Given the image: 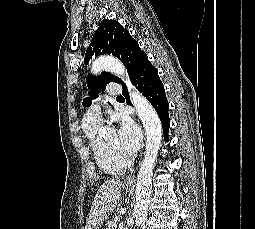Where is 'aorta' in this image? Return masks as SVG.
<instances>
[{
    "mask_svg": "<svg viewBox=\"0 0 255 229\" xmlns=\"http://www.w3.org/2000/svg\"><path fill=\"white\" fill-rule=\"evenodd\" d=\"M102 70L117 75L126 83L131 102L143 123L146 133V152L137 175L134 207L135 223L140 226L147 218L153 168L162 140V124L152 105L131 85L127 71L121 61L111 56L100 57L92 63L91 72L98 74Z\"/></svg>",
    "mask_w": 255,
    "mask_h": 229,
    "instance_id": "obj_1",
    "label": "aorta"
}]
</instances>
